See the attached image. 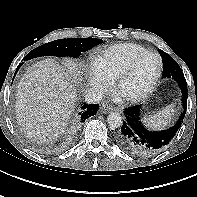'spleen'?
Returning a JSON list of instances; mask_svg holds the SVG:
<instances>
[{"label":"spleen","instance_id":"3e777b00","mask_svg":"<svg viewBox=\"0 0 197 197\" xmlns=\"http://www.w3.org/2000/svg\"><path fill=\"white\" fill-rule=\"evenodd\" d=\"M174 115V106L168 105L162 111L144 117L142 122L145 126L153 130H161L165 128L172 120Z\"/></svg>","mask_w":197,"mask_h":197}]
</instances>
